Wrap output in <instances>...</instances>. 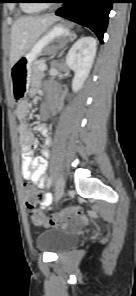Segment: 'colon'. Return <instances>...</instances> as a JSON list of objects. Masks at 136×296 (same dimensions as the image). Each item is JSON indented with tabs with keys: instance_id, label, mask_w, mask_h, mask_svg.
<instances>
[{
	"instance_id": "1",
	"label": "colon",
	"mask_w": 136,
	"mask_h": 296,
	"mask_svg": "<svg viewBox=\"0 0 136 296\" xmlns=\"http://www.w3.org/2000/svg\"><path fill=\"white\" fill-rule=\"evenodd\" d=\"M24 189L28 209L30 210L33 222L37 225H63L70 219L82 215L78 207L66 206L60 208L54 214L47 216L38 208V204L42 200V193L29 183L24 185Z\"/></svg>"
}]
</instances>
